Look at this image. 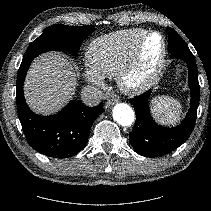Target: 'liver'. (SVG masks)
<instances>
[{"instance_id":"1","label":"liver","mask_w":211,"mask_h":211,"mask_svg":"<svg viewBox=\"0 0 211 211\" xmlns=\"http://www.w3.org/2000/svg\"><path fill=\"white\" fill-rule=\"evenodd\" d=\"M76 74L61 54L49 52L37 57L25 79L24 93L29 107L36 113L59 112L73 97Z\"/></svg>"}]
</instances>
